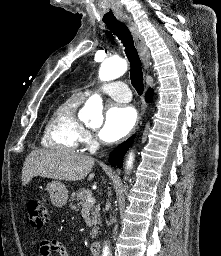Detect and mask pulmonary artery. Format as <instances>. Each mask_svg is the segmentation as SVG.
<instances>
[{"label": "pulmonary artery", "mask_w": 221, "mask_h": 256, "mask_svg": "<svg viewBox=\"0 0 221 256\" xmlns=\"http://www.w3.org/2000/svg\"><path fill=\"white\" fill-rule=\"evenodd\" d=\"M99 91L119 102H129L131 99L129 88L122 81H113L104 84L99 88ZM91 92V90H87L84 94L89 95Z\"/></svg>", "instance_id": "e3ab8cb5"}]
</instances>
